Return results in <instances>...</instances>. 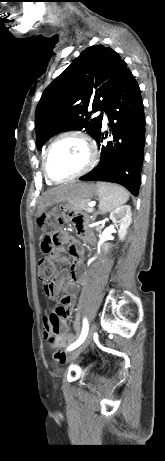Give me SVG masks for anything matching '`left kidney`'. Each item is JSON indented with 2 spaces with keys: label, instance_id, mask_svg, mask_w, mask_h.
I'll return each instance as SVG.
<instances>
[{
  "label": "left kidney",
  "instance_id": "5707ae66",
  "mask_svg": "<svg viewBox=\"0 0 165 461\" xmlns=\"http://www.w3.org/2000/svg\"><path fill=\"white\" fill-rule=\"evenodd\" d=\"M132 212L129 205H124L116 208L110 213V219L113 223L119 225L118 236L120 240H123L127 234V229L132 222ZM110 245L108 243L103 244L104 251H108Z\"/></svg>",
  "mask_w": 165,
  "mask_h": 461
}]
</instances>
